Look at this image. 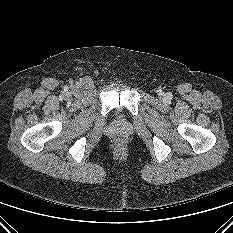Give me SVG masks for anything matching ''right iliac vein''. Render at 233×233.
Masks as SVG:
<instances>
[{
	"instance_id": "right-iliac-vein-1",
	"label": "right iliac vein",
	"mask_w": 233,
	"mask_h": 233,
	"mask_svg": "<svg viewBox=\"0 0 233 233\" xmlns=\"http://www.w3.org/2000/svg\"><path fill=\"white\" fill-rule=\"evenodd\" d=\"M65 99L66 100H70L71 99V94L70 93H66L65 94Z\"/></svg>"
}]
</instances>
